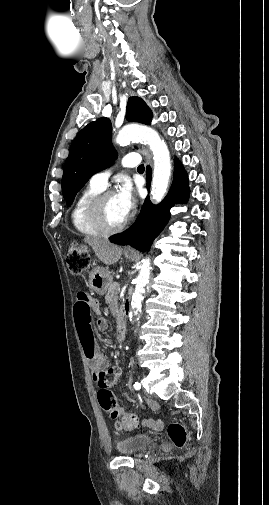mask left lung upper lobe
Returning <instances> with one entry per match:
<instances>
[{
  "label": "left lung upper lobe",
  "instance_id": "5c2ea615",
  "mask_svg": "<svg viewBox=\"0 0 269 505\" xmlns=\"http://www.w3.org/2000/svg\"><path fill=\"white\" fill-rule=\"evenodd\" d=\"M152 112L138 97H130L126 119L130 122L150 124ZM112 126L108 118H99L85 126L72 142L64 165L62 192L71 205L77 192L95 173L106 169L117 157L111 143Z\"/></svg>",
  "mask_w": 269,
  "mask_h": 505
}]
</instances>
